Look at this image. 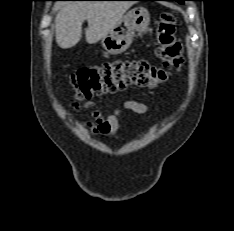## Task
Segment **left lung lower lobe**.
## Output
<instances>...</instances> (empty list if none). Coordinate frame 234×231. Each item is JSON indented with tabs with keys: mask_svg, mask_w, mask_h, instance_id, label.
Returning <instances> with one entry per match:
<instances>
[{
	"mask_svg": "<svg viewBox=\"0 0 234 231\" xmlns=\"http://www.w3.org/2000/svg\"><path fill=\"white\" fill-rule=\"evenodd\" d=\"M149 1H151V0H149ZM165 1H176V0H165Z\"/></svg>",
	"mask_w": 234,
	"mask_h": 231,
	"instance_id": "obj_1",
	"label": "left lung lower lobe"
}]
</instances>
